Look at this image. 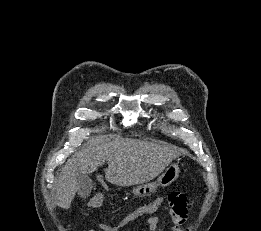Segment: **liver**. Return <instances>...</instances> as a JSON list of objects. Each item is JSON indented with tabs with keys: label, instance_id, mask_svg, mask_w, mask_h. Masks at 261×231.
Masks as SVG:
<instances>
[{
	"label": "liver",
	"instance_id": "1",
	"mask_svg": "<svg viewBox=\"0 0 261 231\" xmlns=\"http://www.w3.org/2000/svg\"><path fill=\"white\" fill-rule=\"evenodd\" d=\"M178 156L180 152L168 145L128 138L101 143L91 138L63 166L56 185L57 205L69 209L79 189L77 175L91 174L105 162L106 180L124 187L149 182Z\"/></svg>",
	"mask_w": 261,
	"mask_h": 231
}]
</instances>
